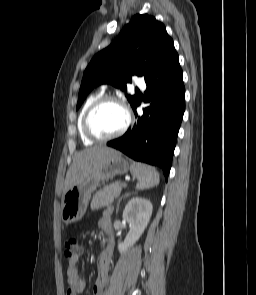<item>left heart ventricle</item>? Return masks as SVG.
<instances>
[{
  "label": "left heart ventricle",
  "instance_id": "obj_1",
  "mask_svg": "<svg viewBox=\"0 0 256 295\" xmlns=\"http://www.w3.org/2000/svg\"><path fill=\"white\" fill-rule=\"evenodd\" d=\"M125 122L121 107L114 103H105L91 115V130L98 136H108L117 132Z\"/></svg>",
  "mask_w": 256,
  "mask_h": 295
}]
</instances>
